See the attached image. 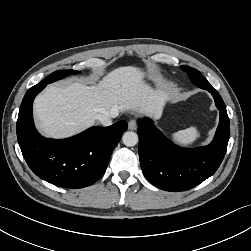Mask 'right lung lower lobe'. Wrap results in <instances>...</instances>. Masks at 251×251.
Masks as SVG:
<instances>
[{"label":"right lung lower lobe","instance_id":"obj_1","mask_svg":"<svg viewBox=\"0 0 251 251\" xmlns=\"http://www.w3.org/2000/svg\"><path fill=\"white\" fill-rule=\"evenodd\" d=\"M47 84H37L25 94L17 120V139L30 169L59 187L83 188L95 183L106 171L111 154L127 129L126 121L109 127H91L67 139L42 137L35 129L32 105Z\"/></svg>","mask_w":251,"mask_h":251}]
</instances>
